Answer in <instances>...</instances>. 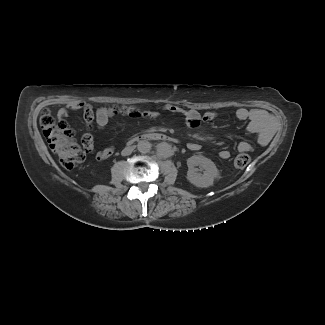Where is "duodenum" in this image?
I'll list each match as a JSON object with an SVG mask.
<instances>
[{
  "label": "duodenum",
  "instance_id": "410a0bca",
  "mask_svg": "<svg viewBox=\"0 0 325 325\" xmlns=\"http://www.w3.org/2000/svg\"><path fill=\"white\" fill-rule=\"evenodd\" d=\"M142 140H153V141L167 142V143H170L173 141V139L165 133L147 132V133H144V134H141V135H138V136L132 138L129 141V143H134V142L142 141Z\"/></svg>",
  "mask_w": 325,
  "mask_h": 325
}]
</instances>
